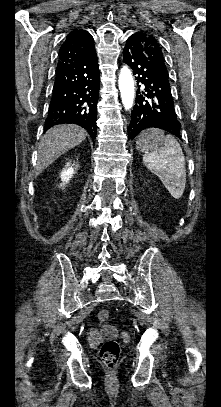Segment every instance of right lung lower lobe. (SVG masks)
I'll return each mask as SVG.
<instances>
[{"label": "right lung lower lobe", "instance_id": "1", "mask_svg": "<svg viewBox=\"0 0 221 407\" xmlns=\"http://www.w3.org/2000/svg\"><path fill=\"white\" fill-rule=\"evenodd\" d=\"M100 74L95 47L89 54L56 70L45 131L58 124H77L95 139Z\"/></svg>", "mask_w": 221, "mask_h": 407}]
</instances>
